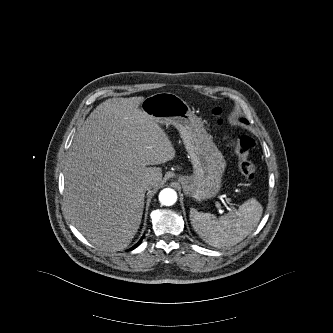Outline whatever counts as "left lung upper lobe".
Wrapping results in <instances>:
<instances>
[{
	"mask_svg": "<svg viewBox=\"0 0 333 333\" xmlns=\"http://www.w3.org/2000/svg\"><path fill=\"white\" fill-rule=\"evenodd\" d=\"M243 122H245V123H246V122H247V120L243 119Z\"/></svg>",
	"mask_w": 333,
	"mask_h": 333,
	"instance_id": "5c2ea615",
	"label": "left lung upper lobe"
}]
</instances>
